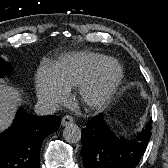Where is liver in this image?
<instances>
[{
  "label": "liver",
  "instance_id": "obj_1",
  "mask_svg": "<svg viewBox=\"0 0 168 168\" xmlns=\"http://www.w3.org/2000/svg\"><path fill=\"white\" fill-rule=\"evenodd\" d=\"M18 92L6 84L0 83V132L6 129L14 115V111L20 98Z\"/></svg>",
  "mask_w": 168,
  "mask_h": 168
}]
</instances>
